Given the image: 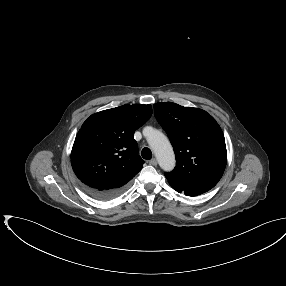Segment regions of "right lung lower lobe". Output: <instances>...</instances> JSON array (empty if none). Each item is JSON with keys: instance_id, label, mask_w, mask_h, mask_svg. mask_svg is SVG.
Masks as SVG:
<instances>
[{"instance_id": "1", "label": "right lung lower lobe", "mask_w": 286, "mask_h": 286, "mask_svg": "<svg viewBox=\"0 0 286 286\" xmlns=\"http://www.w3.org/2000/svg\"><path fill=\"white\" fill-rule=\"evenodd\" d=\"M85 191L93 198L99 200H109L122 193L123 190H98L84 186Z\"/></svg>"}]
</instances>
